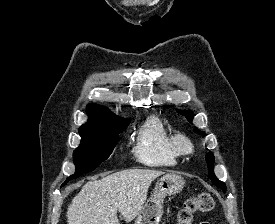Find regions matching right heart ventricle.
Segmentation results:
<instances>
[{
  "label": "right heart ventricle",
  "instance_id": "right-heart-ventricle-1",
  "mask_svg": "<svg viewBox=\"0 0 275 224\" xmlns=\"http://www.w3.org/2000/svg\"><path fill=\"white\" fill-rule=\"evenodd\" d=\"M133 153L140 163L147 166L173 167L180 159L165 124L154 116L147 118L137 132Z\"/></svg>",
  "mask_w": 275,
  "mask_h": 224
}]
</instances>
